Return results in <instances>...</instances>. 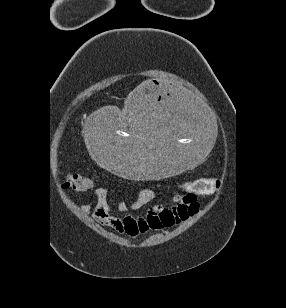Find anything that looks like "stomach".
<instances>
[{"mask_svg":"<svg viewBox=\"0 0 286 308\" xmlns=\"http://www.w3.org/2000/svg\"><path fill=\"white\" fill-rule=\"evenodd\" d=\"M176 81L159 78L130 93L125 112L93 109L88 113L85 149L95 165L128 182H163L199 168L212 153L217 125L206 100L173 91Z\"/></svg>","mask_w":286,"mask_h":308,"instance_id":"1","label":"stomach"}]
</instances>
